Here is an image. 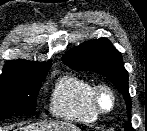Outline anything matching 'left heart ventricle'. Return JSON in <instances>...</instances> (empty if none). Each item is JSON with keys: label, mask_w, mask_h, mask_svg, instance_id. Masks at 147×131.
Here are the masks:
<instances>
[{"label": "left heart ventricle", "mask_w": 147, "mask_h": 131, "mask_svg": "<svg viewBox=\"0 0 147 131\" xmlns=\"http://www.w3.org/2000/svg\"><path fill=\"white\" fill-rule=\"evenodd\" d=\"M101 105L104 108H108L111 105V97L108 93H102L100 97Z\"/></svg>", "instance_id": "obj_1"}]
</instances>
